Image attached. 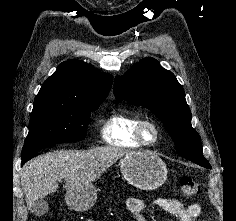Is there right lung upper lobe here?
<instances>
[{
	"instance_id": "obj_1",
	"label": "right lung upper lobe",
	"mask_w": 236,
	"mask_h": 221,
	"mask_svg": "<svg viewBox=\"0 0 236 221\" xmlns=\"http://www.w3.org/2000/svg\"><path fill=\"white\" fill-rule=\"evenodd\" d=\"M112 75L73 59L62 62L46 79L34 102H102L112 85Z\"/></svg>"
}]
</instances>
